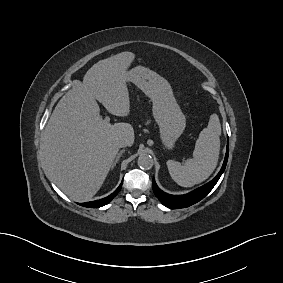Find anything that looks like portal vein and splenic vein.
Instances as JSON below:
<instances>
[{
    "mask_svg": "<svg viewBox=\"0 0 283 283\" xmlns=\"http://www.w3.org/2000/svg\"><path fill=\"white\" fill-rule=\"evenodd\" d=\"M104 121H105V122H109V121H110L109 116H106L105 119H104Z\"/></svg>",
    "mask_w": 283,
    "mask_h": 283,
    "instance_id": "portal-vein-and-splenic-vein-1",
    "label": "portal vein and splenic vein"
}]
</instances>
